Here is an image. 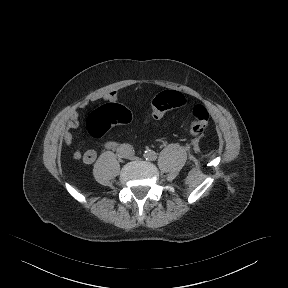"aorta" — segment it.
<instances>
[{
    "instance_id": "aorta-1",
    "label": "aorta",
    "mask_w": 288,
    "mask_h": 288,
    "mask_svg": "<svg viewBox=\"0 0 288 288\" xmlns=\"http://www.w3.org/2000/svg\"><path fill=\"white\" fill-rule=\"evenodd\" d=\"M149 153H154V151H152V150H149L146 154H145V157L147 158V159H149Z\"/></svg>"
}]
</instances>
